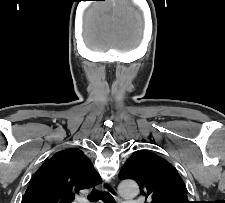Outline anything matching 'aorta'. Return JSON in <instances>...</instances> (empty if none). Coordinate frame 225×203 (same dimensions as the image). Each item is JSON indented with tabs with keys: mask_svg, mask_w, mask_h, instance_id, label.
<instances>
[{
	"mask_svg": "<svg viewBox=\"0 0 225 203\" xmlns=\"http://www.w3.org/2000/svg\"><path fill=\"white\" fill-rule=\"evenodd\" d=\"M118 191L123 197H134L138 194L139 188L135 181L124 180L119 184Z\"/></svg>",
	"mask_w": 225,
	"mask_h": 203,
	"instance_id": "762f6f07",
	"label": "aorta"
}]
</instances>
